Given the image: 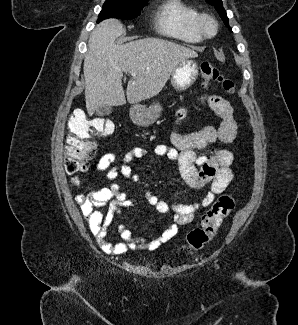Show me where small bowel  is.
I'll return each mask as SVG.
<instances>
[{
  "label": "small bowel",
  "instance_id": "c3829d8e",
  "mask_svg": "<svg viewBox=\"0 0 298 325\" xmlns=\"http://www.w3.org/2000/svg\"><path fill=\"white\" fill-rule=\"evenodd\" d=\"M205 101L221 119L218 127L207 125L199 131L189 134H181L173 130L170 135L172 145H157L153 152L157 158L166 157L175 161L182 179L191 188L200 189L209 185L210 189L193 204L175 205H169L159 200L153 192H147L146 199L150 205L155 207L158 214H173V222L167 225L158 237H136L130 227L120 225L118 232L123 241L112 243L107 239L108 228L115 217L121 214L123 208L133 206V202L121 191L120 185L115 180L121 175L132 182H138L140 175L132 170L130 163L134 159L146 157L148 151L143 147H135L125 153L121 159L115 153H106L96 162L95 169L105 172L110 184L88 193H79L75 196V201L87 220L97 244L105 253L120 255L128 250L140 248L157 249L172 239L178 233L180 226L192 222L196 211L209 206L233 180L234 175L231 169L233 154L229 150L217 148L207 155H198L195 151L216 141L223 144L231 143L237 134V123L231 104L218 95H209ZM185 116L186 110H179L178 122ZM82 185V178L73 177L71 179L73 189L80 188ZM104 208L106 209L104 210Z\"/></svg>",
  "mask_w": 298,
  "mask_h": 325
}]
</instances>
